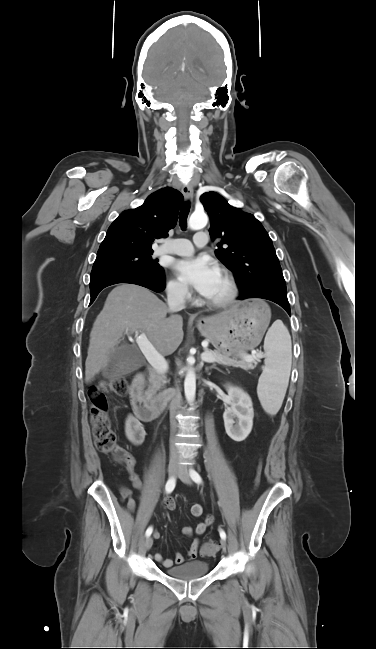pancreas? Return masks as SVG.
<instances>
[{
    "mask_svg": "<svg viewBox=\"0 0 376 649\" xmlns=\"http://www.w3.org/2000/svg\"><path fill=\"white\" fill-rule=\"evenodd\" d=\"M206 353H212L216 355V363L224 365V366H232V367H239L244 370L246 369H254L255 366L252 364L253 362H247L245 361L242 357L245 356V353H240V356L243 360L237 361L235 359L229 358L230 353H220L219 351L215 350H205L202 355ZM258 360V357L257 359ZM256 360L254 362H256ZM167 378L164 374L157 372L156 370L150 371V376H149V386L147 389V395L149 398H154L157 392L162 389L165 384L167 383Z\"/></svg>",
    "mask_w": 376,
    "mask_h": 649,
    "instance_id": "obj_1",
    "label": "pancreas"
}]
</instances>
